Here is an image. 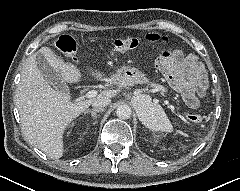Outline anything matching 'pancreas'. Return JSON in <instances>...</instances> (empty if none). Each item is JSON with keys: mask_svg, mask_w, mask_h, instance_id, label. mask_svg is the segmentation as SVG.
I'll return each mask as SVG.
<instances>
[{"mask_svg": "<svg viewBox=\"0 0 240 191\" xmlns=\"http://www.w3.org/2000/svg\"><path fill=\"white\" fill-rule=\"evenodd\" d=\"M150 87H151L153 90L159 91L161 94H163V93L166 92V88L163 87V86L160 85V84H157V83H151V84H150Z\"/></svg>", "mask_w": 240, "mask_h": 191, "instance_id": "obj_1", "label": "pancreas"}]
</instances>
